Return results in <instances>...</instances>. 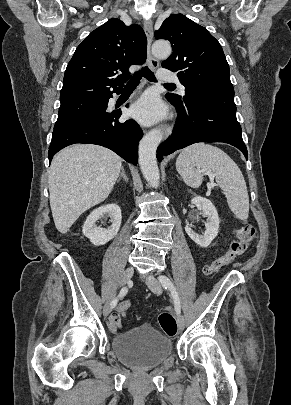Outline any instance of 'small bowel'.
Here are the masks:
<instances>
[{"mask_svg":"<svg viewBox=\"0 0 291 405\" xmlns=\"http://www.w3.org/2000/svg\"><path fill=\"white\" fill-rule=\"evenodd\" d=\"M108 328L112 332H117L118 330L121 329V320L120 319H114V318L111 317L108 320Z\"/></svg>","mask_w":291,"mask_h":405,"instance_id":"c3829d8e","label":"small bowel"}]
</instances>
